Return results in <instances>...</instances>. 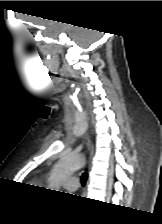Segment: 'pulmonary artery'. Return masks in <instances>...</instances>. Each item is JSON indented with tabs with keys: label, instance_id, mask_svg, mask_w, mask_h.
Instances as JSON below:
<instances>
[{
	"label": "pulmonary artery",
	"instance_id": "obj_1",
	"mask_svg": "<svg viewBox=\"0 0 162 224\" xmlns=\"http://www.w3.org/2000/svg\"><path fill=\"white\" fill-rule=\"evenodd\" d=\"M80 185V180L77 176L70 177L66 183L65 186L70 191H75Z\"/></svg>",
	"mask_w": 162,
	"mask_h": 224
}]
</instances>
